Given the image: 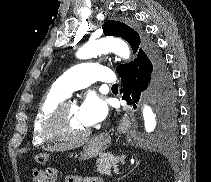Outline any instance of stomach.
Returning a JSON list of instances; mask_svg holds the SVG:
<instances>
[{"mask_svg":"<svg viewBox=\"0 0 211 182\" xmlns=\"http://www.w3.org/2000/svg\"><path fill=\"white\" fill-rule=\"evenodd\" d=\"M110 144V138L107 134H100L90 139L83 147L80 153V160H87L96 157L104 151Z\"/></svg>","mask_w":211,"mask_h":182,"instance_id":"1","label":"stomach"}]
</instances>
